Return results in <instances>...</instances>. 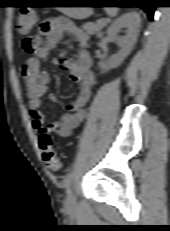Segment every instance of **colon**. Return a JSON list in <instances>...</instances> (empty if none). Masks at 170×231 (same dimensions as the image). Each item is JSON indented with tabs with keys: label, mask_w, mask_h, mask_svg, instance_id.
<instances>
[{
	"label": "colon",
	"mask_w": 170,
	"mask_h": 231,
	"mask_svg": "<svg viewBox=\"0 0 170 231\" xmlns=\"http://www.w3.org/2000/svg\"><path fill=\"white\" fill-rule=\"evenodd\" d=\"M36 22L37 15L33 9L24 7L19 11L17 17V29L19 33L25 35L22 41V49L26 53H34L39 45L38 37L36 35H29ZM38 145L47 167L53 172L59 171L61 169V162L54 148L50 134H40L38 138Z\"/></svg>",
	"instance_id": "1"
}]
</instances>
